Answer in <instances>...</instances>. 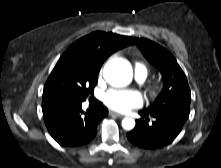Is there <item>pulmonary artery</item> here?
Returning <instances> with one entry per match:
<instances>
[{
  "label": "pulmonary artery",
  "instance_id": "e3ab8cb5",
  "mask_svg": "<svg viewBox=\"0 0 221 168\" xmlns=\"http://www.w3.org/2000/svg\"><path fill=\"white\" fill-rule=\"evenodd\" d=\"M147 77V74L143 71H135V78L137 79V81L139 82H143Z\"/></svg>",
  "mask_w": 221,
  "mask_h": 168
}]
</instances>
